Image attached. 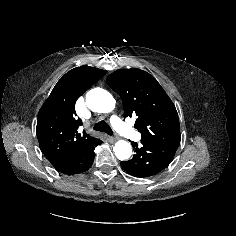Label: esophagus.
<instances>
[{"label": "esophagus", "instance_id": "34e87169", "mask_svg": "<svg viewBox=\"0 0 236 236\" xmlns=\"http://www.w3.org/2000/svg\"><path fill=\"white\" fill-rule=\"evenodd\" d=\"M109 140H110L111 142H115V141L117 140V138H116V137H113V136H110V137H109Z\"/></svg>", "mask_w": 236, "mask_h": 236}]
</instances>
